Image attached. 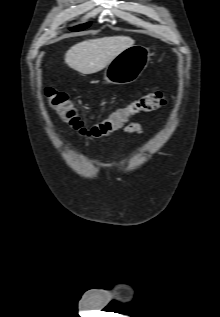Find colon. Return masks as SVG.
<instances>
[{"label":"colon","mask_w":220,"mask_h":317,"mask_svg":"<svg viewBox=\"0 0 220 317\" xmlns=\"http://www.w3.org/2000/svg\"><path fill=\"white\" fill-rule=\"evenodd\" d=\"M46 98L50 106L72 129L80 133L90 131L94 136H106L126 126L132 117L155 111L166 104V96L162 91L147 93L88 127L65 93L50 89L46 91Z\"/></svg>","instance_id":"obj_1"}]
</instances>
